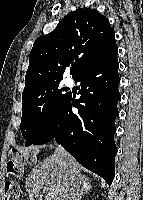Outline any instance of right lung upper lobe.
Wrapping results in <instances>:
<instances>
[{
    "instance_id": "1",
    "label": "right lung upper lobe",
    "mask_w": 143,
    "mask_h": 200,
    "mask_svg": "<svg viewBox=\"0 0 143 200\" xmlns=\"http://www.w3.org/2000/svg\"><path fill=\"white\" fill-rule=\"evenodd\" d=\"M116 47L114 29L105 16L90 8L70 12L52 32L35 40L23 93L46 83L61 81L70 65L74 79L87 65Z\"/></svg>"
}]
</instances>
